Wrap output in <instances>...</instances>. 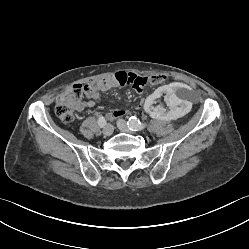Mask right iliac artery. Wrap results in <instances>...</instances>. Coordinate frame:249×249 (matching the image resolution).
Segmentation results:
<instances>
[{
	"label": "right iliac artery",
	"mask_w": 249,
	"mask_h": 249,
	"mask_svg": "<svg viewBox=\"0 0 249 249\" xmlns=\"http://www.w3.org/2000/svg\"><path fill=\"white\" fill-rule=\"evenodd\" d=\"M98 125L102 128L106 125V120L103 116H100L98 119Z\"/></svg>",
	"instance_id": "obj_1"
}]
</instances>
